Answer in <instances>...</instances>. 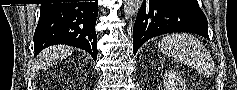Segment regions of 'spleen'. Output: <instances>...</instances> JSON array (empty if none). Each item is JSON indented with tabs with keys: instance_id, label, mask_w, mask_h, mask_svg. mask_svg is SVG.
<instances>
[{
	"instance_id": "3e777b00",
	"label": "spleen",
	"mask_w": 237,
	"mask_h": 90,
	"mask_svg": "<svg viewBox=\"0 0 237 90\" xmlns=\"http://www.w3.org/2000/svg\"><path fill=\"white\" fill-rule=\"evenodd\" d=\"M159 50L172 58L174 62H183L198 72L206 70L210 62V54L198 38L191 34H169L164 36L158 44Z\"/></svg>"
}]
</instances>
